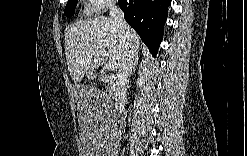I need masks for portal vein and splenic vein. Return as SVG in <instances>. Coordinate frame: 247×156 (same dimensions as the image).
Masks as SVG:
<instances>
[{
  "label": "portal vein and splenic vein",
  "mask_w": 247,
  "mask_h": 156,
  "mask_svg": "<svg viewBox=\"0 0 247 156\" xmlns=\"http://www.w3.org/2000/svg\"><path fill=\"white\" fill-rule=\"evenodd\" d=\"M116 68V63L115 62H109L107 64V69L110 71H113Z\"/></svg>",
  "instance_id": "1"
}]
</instances>
